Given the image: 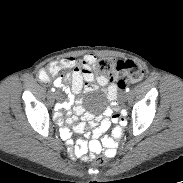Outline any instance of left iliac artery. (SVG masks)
I'll return each instance as SVG.
<instances>
[{
	"label": "left iliac artery",
	"mask_w": 183,
	"mask_h": 183,
	"mask_svg": "<svg viewBox=\"0 0 183 183\" xmlns=\"http://www.w3.org/2000/svg\"><path fill=\"white\" fill-rule=\"evenodd\" d=\"M130 91V89L129 88H126V92H129Z\"/></svg>",
	"instance_id": "1"
}]
</instances>
